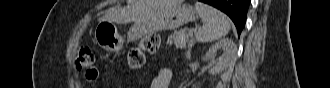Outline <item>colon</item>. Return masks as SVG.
Here are the masks:
<instances>
[{"instance_id": "1", "label": "colon", "mask_w": 330, "mask_h": 88, "mask_svg": "<svg viewBox=\"0 0 330 88\" xmlns=\"http://www.w3.org/2000/svg\"><path fill=\"white\" fill-rule=\"evenodd\" d=\"M159 48L160 37L157 34L144 36L138 46L131 48L128 52L129 68L134 72H139L144 66L145 54H154ZM74 65L87 81L93 82L97 79L98 71L94 66V55L89 47L83 46L79 49Z\"/></svg>"}]
</instances>
